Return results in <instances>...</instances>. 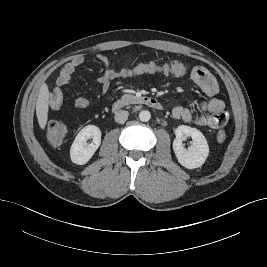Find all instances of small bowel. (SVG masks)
<instances>
[{
    "instance_id": "1",
    "label": "small bowel",
    "mask_w": 267,
    "mask_h": 267,
    "mask_svg": "<svg viewBox=\"0 0 267 267\" xmlns=\"http://www.w3.org/2000/svg\"><path fill=\"white\" fill-rule=\"evenodd\" d=\"M97 58L105 67L103 74L96 79V83L100 87V95L103 96L108 92L111 81L117 79V71L110 67L109 60L105 55L98 54ZM83 63L84 57L77 55L62 67L57 77L56 87L49 95V105L52 109L60 108L64 100V88ZM190 78L209 99L200 105L198 114H194L187 107L177 106L173 109V116L200 127L217 129L224 126L228 121V114L225 111L224 102L215 97L219 91L215 77L205 67L194 66L190 71ZM94 104V100L86 97H78L74 100V106L79 109Z\"/></svg>"
}]
</instances>
